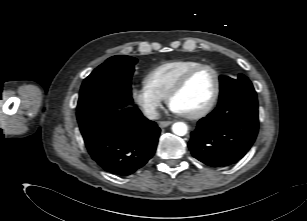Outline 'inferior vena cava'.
I'll use <instances>...</instances> for the list:
<instances>
[{"label":"inferior vena cava","instance_id":"obj_1","mask_svg":"<svg viewBox=\"0 0 307 221\" xmlns=\"http://www.w3.org/2000/svg\"><path fill=\"white\" fill-rule=\"evenodd\" d=\"M145 116L148 119L155 120V119L158 118L159 114L154 107H151V108L145 110Z\"/></svg>","mask_w":307,"mask_h":221}]
</instances>
